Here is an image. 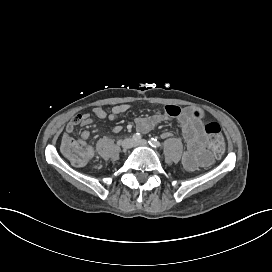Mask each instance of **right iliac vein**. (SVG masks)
I'll return each mask as SVG.
<instances>
[{
  "instance_id": "right-iliac-vein-1",
  "label": "right iliac vein",
  "mask_w": 272,
  "mask_h": 272,
  "mask_svg": "<svg viewBox=\"0 0 272 272\" xmlns=\"http://www.w3.org/2000/svg\"><path fill=\"white\" fill-rule=\"evenodd\" d=\"M133 146V140L130 138H125L122 142H121V147L123 149H130Z\"/></svg>"
}]
</instances>
